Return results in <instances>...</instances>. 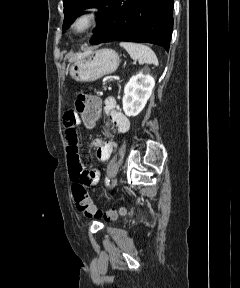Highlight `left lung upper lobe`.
<instances>
[{"label":"left lung upper lobe","mask_w":240,"mask_h":288,"mask_svg":"<svg viewBox=\"0 0 240 288\" xmlns=\"http://www.w3.org/2000/svg\"><path fill=\"white\" fill-rule=\"evenodd\" d=\"M109 4L110 0H63L65 15L63 29H67L83 9L90 7H97L101 10L96 19L98 27L108 10Z\"/></svg>","instance_id":"1"}]
</instances>
